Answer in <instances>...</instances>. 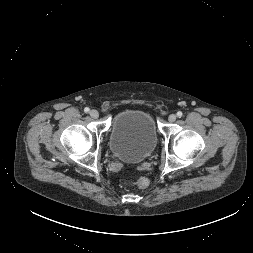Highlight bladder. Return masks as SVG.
I'll return each instance as SVG.
<instances>
[{
    "label": "bladder",
    "instance_id": "bladder-1",
    "mask_svg": "<svg viewBox=\"0 0 253 253\" xmlns=\"http://www.w3.org/2000/svg\"><path fill=\"white\" fill-rule=\"evenodd\" d=\"M157 128L152 115L142 109H126L112 120L109 147L118 159L126 163H140L155 150Z\"/></svg>",
    "mask_w": 253,
    "mask_h": 253
}]
</instances>
